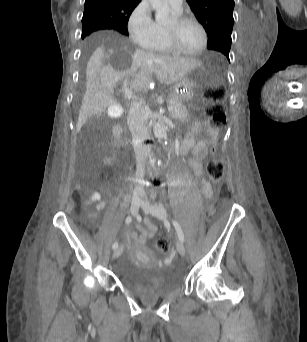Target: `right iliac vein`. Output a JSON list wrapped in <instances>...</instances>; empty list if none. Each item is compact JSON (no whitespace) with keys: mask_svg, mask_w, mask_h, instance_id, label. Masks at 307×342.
<instances>
[{"mask_svg":"<svg viewBox=\"0 0 307 342\" xmlns=\"http://www.w3.org/2000/svg\"><path fill=\"white\" fill-rule=\"evenodd\" d=\"M141 203L142 199L140 197H133L130 209L133 216H136L138 214ZM122 251L123 246H119L118 248H116L112 254V258H118L121 255Z\"/></svg>","mask_w":307,"mask_h":342,"instance_id":"right-iliac-vein-1","label":"right iliac vein"}]
</instances>
